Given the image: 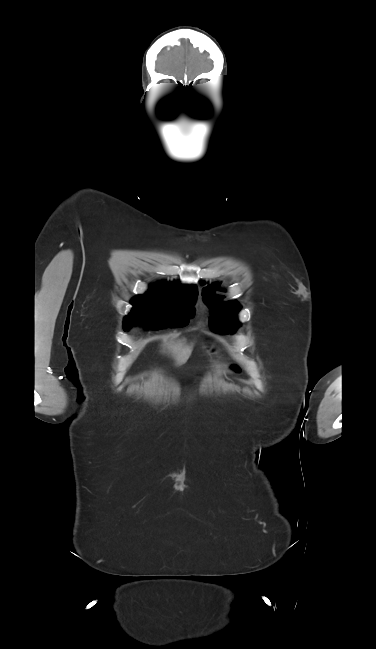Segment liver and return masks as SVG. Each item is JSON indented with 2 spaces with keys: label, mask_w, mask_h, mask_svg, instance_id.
I'll return each instance as SVG.
<instances>
[{
  "label": "liver",
  "mask_w": 376,
  "mask_h": 649,
  "mask_svg": "<svg viewBox=\"0 0 376 649\" xmlns=\"http://www.w3.org/2000/svg\"><path fill=\"white\" fill-rule=\"evenodd\" d=\"M165 348L179 366L187 362L193 350V346L187 345L185 340L170 341L165 343Z\"/></svg>",
  "instance_id": "obj_1"
}]
</instances>
